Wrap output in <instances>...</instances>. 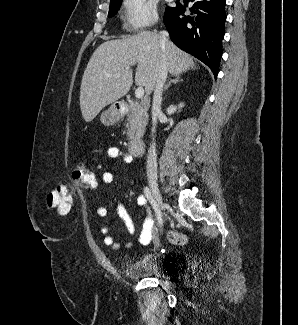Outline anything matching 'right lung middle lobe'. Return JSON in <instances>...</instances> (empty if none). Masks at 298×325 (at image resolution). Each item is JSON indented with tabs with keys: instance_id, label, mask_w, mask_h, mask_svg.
<instances>
[{
	"instance_id": "obj_1",
	"label": "right lung middle lobe",
	"mask_w": 298,
	"mask_h": 325,
	"mask_svg": "<svg viewBox=\"0 0 298 325\" xmlns=\"http://www.w3.org/2000/svg\"><path fill=\"white\" fill-rule=\"evenodd\" d=\"M122 0H117L115 2L110 3L109 14L108 17H112L117 14L118 9L121 5ZM169 9V8H167Z\"/></svg>"
}]
</instances>
